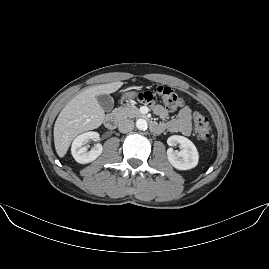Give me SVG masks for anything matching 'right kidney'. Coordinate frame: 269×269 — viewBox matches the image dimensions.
I'll use <instances>...</instances> for the list:
<instances>
[{
  "mask_svg": "<svg viewBox=\"0 0 269 269\" xmlns=\"http://www.w3.org/2000/svg\"><path fill=\"white\" fill-rule=\"evenodd\" d=\"M90 139H99V133L90 131L83 133L74 139L71 147V153L78 163H90L101 155L103 151L101 144H96L90 151L87 150L85 144H87Z\"/></svg>",
  "mask_w": 269,
  "mask_h": 269,
  "instance_id": "1",
  "label": "right kidney"
}]
</instances>
